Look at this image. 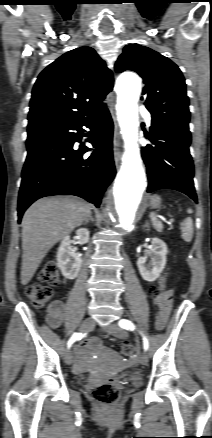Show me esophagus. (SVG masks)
I'll return each instance as SVG.
<instances>
[{
    "label": "esophagus",
    "mask_w": 212,
    "mask_h": 438,
    "mask_svg": "<svg viewBox=\"0 0 212 438\" xmlns=\"http://www.w3.org/2000/svg\"><path fill=\"white\" fill-rule=\"evenodd\" d=\"M110 112H111V115L114 119V124H115L114 139H113V154H114V161H115L116 167H118L119 162H120V158H121L120 143H119V131H118V127H117V124L115 121L113 107L110 108Z\"/></svg>",
    "instance_id": "obj_1"
}]
</instances>
